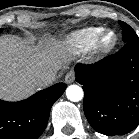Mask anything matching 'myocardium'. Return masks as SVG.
Masks as SVG:
<instances>
[{
	"label": "myocardium",
	"instance_id": "1",
	"mask_svg": "<svg viewBox=\"0 0 139 139\" xmlns=\"http://www.w3.org/2000/svg\"><path fill=\"white\" fill-rule=\"evenodd\" d=\"M112 34L113 39L110 42H106V37ZM119 42V36L113 29H103V31L97 36L92 50L98 56H106L110 54Z\"/></svg>",
	"mask_w": 139,
	"mask_h": 139
}]
</instances>
